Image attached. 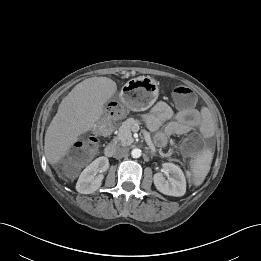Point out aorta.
<instances>
[{
    "instance_id": "aorta-1",
    "label": "aorta",
    "mask_w": 261,
    "mask_h": 261,
    "mask_svg": "<svg viewBox=\"0 0 261 261\" xmlns=\"http://www.w3.org/2000/svg\"><path fill=\"white\" fill-rule=\"evenodd\" d=\"M131 155H132L133 158H139L141 156V150L138 149V148H134L131 151Z\"/></svg>"
}]
</instances>
